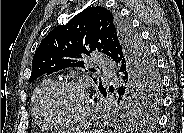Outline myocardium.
Returning a JSON list of instances; mask_svg holds the SVG:
<instances>
[{
	"mask_svg": "<svg viewBox=\"0 0 184 133\" xmlns=\"http://www.w3.org/2000/svg\"><path fill=\"white\" fill-rule=\"evenodd\" d=\"M62 87H71L78 89L84 96L85 99V110L74 119H63L57 117L51 110L50 100L55 91ZM42 107L47 118L56 125L61 126H78L85 123L92 115V103L90 98V92L86 86L76 80H59L55 81L45 92L42 99Z\"/></svg>",
	"mask_w": 184,
	"mask_h": 133,
	"instance_id": "1",
	"label": "myocardium"
}]
</instances>
